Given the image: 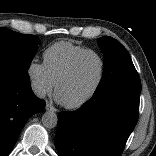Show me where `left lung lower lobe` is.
<instances>
[{
    "label": "left lung lower lobe",
    "instance_id": "1",
    "mask_svg": "<svg viewBox=\"0 0 156 156\" xmlns=\"http://www.w3.org/2000/svg\"><path fill=\"white\" fill-rule=\"evenodd\" d=\"M140 92L113 89L58 114L59 156H120L139 114Z\"/></svg>",
    "mask_w": 156,
    "mask_h": 156
}]
</instances>
